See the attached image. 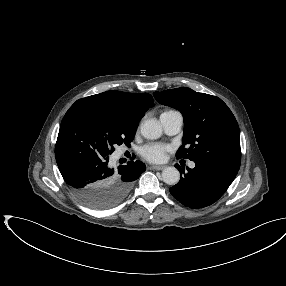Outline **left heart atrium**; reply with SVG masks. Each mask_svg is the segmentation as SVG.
<instances>
[{"label":"left heart atrium","mask_w":286,"mask_h":286,"mask_svg":"<svg viewBox=\"0 0 286 286\" xmlns=\"http://www.w3.org/2000/svg\"><path fill=\"white\" fill-rule=\"evenodd\" d=\"M170 148L163 144H149L143 149V157L153 163L163 162Z\"/></svg>","instance_id":"obj_1"}]
</instances>
